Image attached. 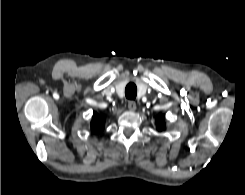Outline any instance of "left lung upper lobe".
I'll list each match as a JSON object with an SVG mask.
<instances>
[{"instance_id":"5c2ea615","label":"left lung upper lobe","mask_w":245,"mask_h":195,"mask_svg":"<svg viewBox=\"0 0 245 195\" xmlns=\"http://www.w3.org/2000/svg\"><path fill=\"white\" fill-rule=\"evenodd\" d=\"M165 124L162 120L157 121V129L161 131L164 128Z\"/></svg>"}]
</instances>
